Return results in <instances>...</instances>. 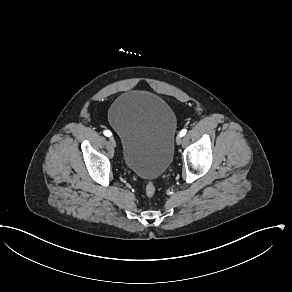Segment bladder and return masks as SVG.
I'll list each match as a JSON object with an SVG mask.
<instances>
[{
  "instance_id": "bladder-1",
  "label": "bladder",
  "mask_w": 292,
  "mask_h": 292,
  "mask_svg": "<svg viewBox=\"0 0 292 292\" xmlns=\"http://www.w3.org/2000/svg\"><path fill=\"white\" fill-rule=\"evenodd\" d=\"M109 123L120 138L126 169L145 179L167 170L177 119L164 99L146 91L125 92L111 105Z\"/></svg>"
}]
</instances>
